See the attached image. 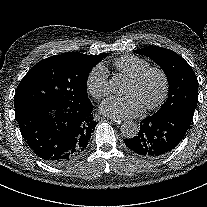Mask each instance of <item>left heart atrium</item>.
Here are the masks:
<instances>
[{"label": "left heart atrium", "mask_w": 207, "mask_h": 207, "mask_svg": "<svg viewBox=\"0 0 207 207\" xmlns=\"http://www.w3.org/2000/svg\"><path fill=\"white\" fill-rule=\"evenodd\" d=\"M101 111L114 118L129 119L141 115L144 108L133 95L113 96L102 102Z\"/></svg>", "instance_id": "39dd6f15"}]
</instances>
